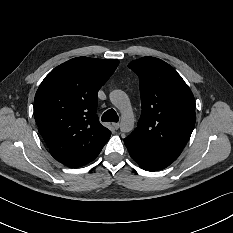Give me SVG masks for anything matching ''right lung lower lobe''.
<instances>
[{
  "label": "right lung lower lobe",
  "mask_w": 233,
  "mask_h": 233,
  "mask_svg": "<svg viewBox=\"0 0 233 233\" xmlns=\"http://www.w3.org/2000/svg\"><path fill=\"white\" fill-rule=\"evenodd\" d=\"M98 154H99V153H98ZM98 154H97L96 156H94L92 159H90L88 162H86V163H84V164H82V165H78V166L71 167V168H77V167H81V166L86 165V164L89 163L90 161H93V160L98 156Z\"/></svg>",
  "instance_id": "1"
}]
</instances>
